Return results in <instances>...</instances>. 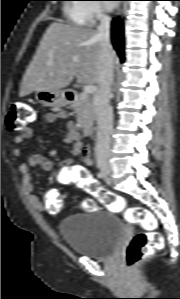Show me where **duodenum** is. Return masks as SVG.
<instances>
[{
  "instance_id": "410a0bca",
  "label": "duodenum",
  "mask_w": 180,
  "mask_h": 299,
  "mask_svg": "<svg viewBox=\"0 0 180 299\" xmlns=\"http://www.w3.org/2000/svg\"><path fill=\"white\" fill-rule=\"evenodd\" d=\"M76 96L75 90H68L66 92V98L68 101H73ZM82 132L85 136H90L93 134V127L90 124L84 123L82 124Z\"/></svg>"
}]
</instances>
